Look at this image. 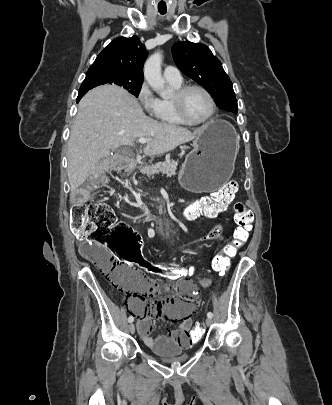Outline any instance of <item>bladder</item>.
<instances>
[{
    "mask_svg": "<svg viewBox=\"0 0 332 405\" xmlns=\"http://www.w3.org/2000/svg\"><path fill=\"white\" fill-rule=\"evenodd\" d=\"M151 352L153 354H155L161 360L167 361V362L185 361V360H187L189 358L188 353H183V352H180V351L167 353V352H164V351L151 349Z\"/></svg>",
    "mask_w": 332,
    "mask_h": 405,
    "instance_id": "bladder-1",
    "label": "bladder"
}]
</instances>
